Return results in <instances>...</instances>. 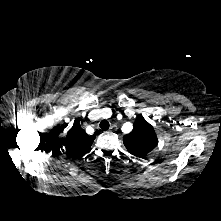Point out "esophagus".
Returning <instances> with one entry per match:
<instances>
[{
    "label": "esophagus",
    "instance_id": "1",
    "mask_svg": "<svg viewBox=\"0 0 221 221\" xmlns=\"http://www.w3.org/2000/svg\"><path fill=\"white\" fill-rule=\"evenodd\" d=\"M110 129H111V131H115V130H116V127H115V126H112Z\"/></svg>",
    "mask_w": 221,
    "mask_h": 221
}]
</instances>
